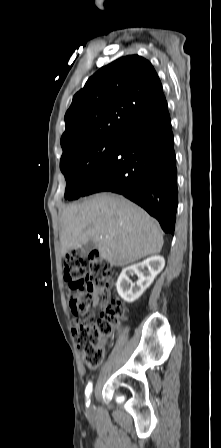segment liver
<instances>
[{"instance_id": "1", "label": "liver", "mask_w": 221, "mask_h": 448, "mask_svg": "<svg viewBox=\"0 0 221 448\" xmlns=\"http://www.w3.org/2000/svg\"><path fill=\"white\" fill-rule=\"evenodd\" d=\"M61 254L91 241L111 266H126L160 253L159 224L119 195L101 193L66 207L60 217Z\"/></svg>"}]
</instances>
